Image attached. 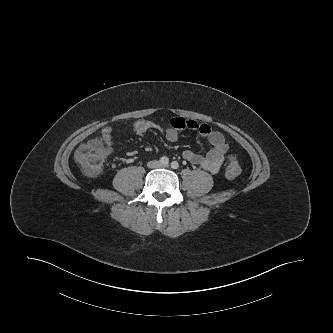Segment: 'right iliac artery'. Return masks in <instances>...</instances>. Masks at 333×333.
Instances as JSON below:
<instances>
[{
  "label": "right iliac artery",
  "mask_w": 333,
  "mask_h": 333,
  "mask_svg": "<svg viewBox=\"0 0 333 333\" xmlns=\"http://www.w3.org/2000/svg\"><path fill=\"white\" fill-rule=\"evenodd\" d=\"M160 163L163 165H167L169 163V159L166 156L160 158Z\"/></svg>",
  "instance_id": "82829eb1"
}]
</instances>
